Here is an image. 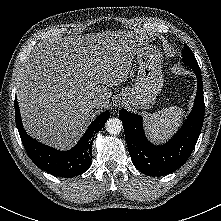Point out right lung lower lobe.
Returning <instances> with one entry per match:
<instances>
[{"label": "right lung lower lobe", "mask_w": 221, "mask_h": 221, "mask_svg": "<svg viewBox=\"0 0 221 221\" xmlns=\"http://www.w3.org/2000/svg\"><path fill=\"white\" fill-rule=\"evenodd\" d=\"M109 117L108 110L100 114L90 124L74 148L68 151H60L36 141L25 132L15 98L16 125L29 158L40 169L59 177L78 176L90 168L94 136L103 128Z\"/></svg>", "instance_id": "obj_1"}]
</instances>
